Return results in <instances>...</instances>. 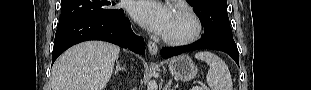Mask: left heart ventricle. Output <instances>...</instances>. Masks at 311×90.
I'll use <instances>...</instances> for the list:
<instances>
[{
    "instance_id": "b2bd125f",
    "label": "left heart ventricle",
    "mask_w": 311,
    "mask_h": 90,
    "mask_svg": "<svg viewBox=\"0 0 311 90\" xmlns=\"http://www.w3.org/2000/svg\"><path fill=\"white\" fill-rule=\"evenodd\" d=\"M191 29L189 21L178 11L174 10L170 19V23L164 35L182 36L186 35Z\"/></svg>"
}]
</instances>
